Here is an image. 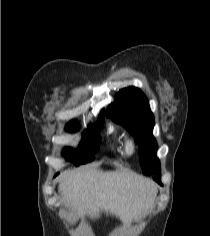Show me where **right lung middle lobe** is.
<instances>
[{
	"label": "right lung middle lobe",
	"mask_w": 210,
	"mask_h": 236,
	"mask_svg": "<svg viewBox=\"0 0 210 236\" xmlns=\"http://www.w3.org/2000/svg\"><path fill=\"white\" fill-rule=\"evenodd\" d=\"M104 113L99 115L98 122L95 125L90 126L83 134V139L79 147L73 151L71 148H66L67 159L72 161L75 166L90 162L94 159L95 154L99 150V128L103 125ZM78 129V125L75 121H71L67 124L66 130L73 132Z\"/></svg>",
	"instance_id": "dd1d6c3e"
}]
</instances>
